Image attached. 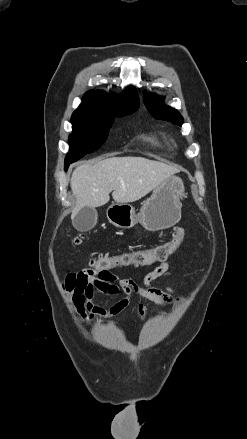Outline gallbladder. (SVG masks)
Returning <instances> with one entry per match:
<instances>
[{
  "instance_id": "gallbladder-1",
  "label": "gallbladder",
  "mask_w": 247,
  "mask_h": 439,
  "mask_svg": "<svg viewBox=\"0 0 247 439\" xmlns=\"http://www.w3.org/2000/svg\"><path fill=\"white\" fill-rule=\"evenodd\" d=\"M98 213L91 207H83L73 218L72 223L76 230L86 232L91 230L97 223Z\"/></svg>"
}]
</instances>
